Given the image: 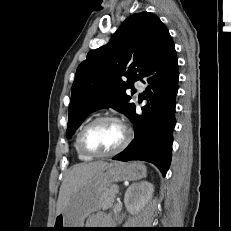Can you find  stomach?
<instances>
[{
    "instance_id": "1",
    "label": "stomach",
    "mask_w": 231,
    "mask_h": 231,
    "mask_svg": "<svg viewBox=\"0 0 231 231\" xmlns=\"http://www.w3.org/2000/svg\"><path fill=\"white\" fill-rule=\"evenodd\" d=\"M145 176L146 167L142 163H109L73 194L65 210L55 217L52 230L83 228L85 218L103 207L102 198L107 188L119 181H134Z\"/></svg>"
}]
</instances>
